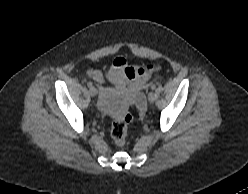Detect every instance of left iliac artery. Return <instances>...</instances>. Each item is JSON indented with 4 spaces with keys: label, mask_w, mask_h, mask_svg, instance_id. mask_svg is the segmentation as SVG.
I'll return each mask as SVG.
<instances>
[{
    "label": "left iliac artery",
    "mask_w": 248,
    "mask_h": 194,
    "mask_svg": "<svg viewBox=\"0 0 248 194\" xmlns=\"http://www.w3.org/2000/svg\"><path fill=\"white\" fill-rule=\"evenodd\" d=\"M156 88V85H152L151 89L154 90Z\"/></svg>",
    "instance_id": "obj_1"
}]
</instances>
